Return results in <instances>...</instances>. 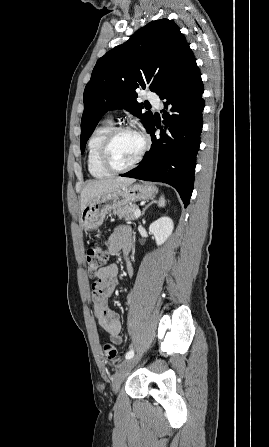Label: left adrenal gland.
Wrapping results in <instances>:
<instances>
[{"instance_id":"left-adrenal-gland-1","label":"left adrenal gland","mask_w":269,"mask_h":447,"mask_svg":"<svg viewBox=\"0 0 269 447\" xmlns=\"http://www.w3.org/2000/svg\"><path fill=\"white\" fill-rule=\"evenodd\" d=\"M153 202H156V200H153ZM153 202H150V204H148V206H146V208H144V210H143L141 216H144V214H145V210H147V208H149V206H151V204H153Z\"/></svg>"}]
</instances>
